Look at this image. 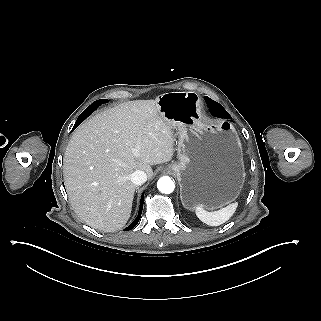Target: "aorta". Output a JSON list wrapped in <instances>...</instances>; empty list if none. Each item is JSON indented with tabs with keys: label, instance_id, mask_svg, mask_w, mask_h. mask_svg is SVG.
I'll list each match as a JSON object with an SVG mask.
<instances>
[{
	"label": "aorta",
	"instance_id": "aorta-1",
	"mask_svg": "<svg viewBox=\"0 0 321 321\" xmlns=\"http://www.w3.org/2000/svg\"><path fill=\"white\" fill-rule=\"evenodd\" d=\"M157 188L160 192L165 194H170L175 189V184L170 177L164 176L161 177L157 182Z\"/></svg>",
	"mask_w": 321,
	"mask_h": 321
}]
</instances>
